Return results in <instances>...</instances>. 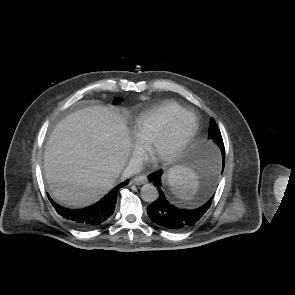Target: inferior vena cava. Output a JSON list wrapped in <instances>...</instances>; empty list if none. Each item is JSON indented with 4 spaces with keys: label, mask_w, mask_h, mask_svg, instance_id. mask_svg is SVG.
<instances>
[{
    "label": "inferior vena cava",
    "mask_w": 295,
    "mask_h": 295,
    "mask_svg": "<svg viewBox=\"0 0 295 295\" xmlns=\"http://www.w3.org/2000/svg\"><path fill=\"white\" fill-rule=\"evenodd\" d=\"M141 170H142V164L140 161L130 160L123 172V177L129 178L132 175L139 173Z\"/></svg>",
    "instance_id": "inferior-vena-cava-1"
}]
</instances>
